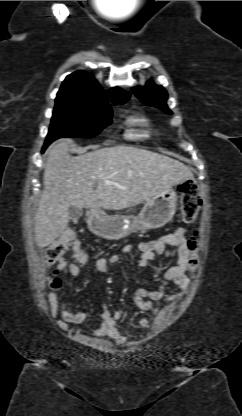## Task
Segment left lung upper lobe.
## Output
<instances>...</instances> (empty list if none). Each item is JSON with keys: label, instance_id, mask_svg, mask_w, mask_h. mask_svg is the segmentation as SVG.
I'll use <instances>...</instances> for the list:
<instances>
[{"label": "left lung upper lobe", "instance_id": "5c2ea615", "mask_svg": "<svg viewBox=\"0 0 242 416\" xmlns=\"http://www.w3.org/2000/svg\"><path fill=\"white\" fill-rule=\"evenodd\" d=\"M133 92L144 103L160 108L168 114L172 113L166 105L167 92L162 86L149 81L144 87L133 88Z\"/></svg>", "mask_w": 242, "mask_h": 416}]
</instances>
